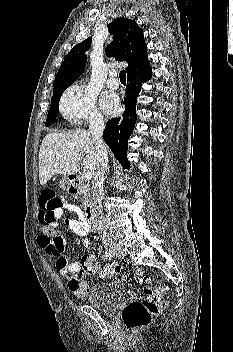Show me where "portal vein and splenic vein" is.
I'll list each match as a JSON object with an SVG mask.
<instances>
[{"label":"portal vein and splenic vein","mask_w":233,"mask_h":352,"mask_svg":"<svg viewBox=\"0 0 233 352\" xmlns=\"http://www.w3.org/2000/svg\"><path fill=\"white\" fill-rule=\"evenodd\" d=\"M84 177L86 180H90L92 178V174L90 172H84Z\"/></svg>","instance_id":"portal-vein-and-splenic-vein-1"}]
</instances>
